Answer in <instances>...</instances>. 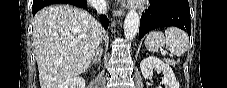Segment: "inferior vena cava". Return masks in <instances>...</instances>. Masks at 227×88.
<instances>
[{
    "label": "inferior vena cava",
    "instance_id": "obj_1",
    "mask_svg": "<svg viewBox=\"0 0 227 88\" xmlns=\"http://www.w3.org/2000/svg\"><path fill=\"white\" fill-rule=\"evenodd\" d=\"M93 7L100 14H106L107 13V3H106L105 0H96L93 3Z\"/></svg>",
    "mask_w": 227,
    "mask_h": 88
}]
</instances>
